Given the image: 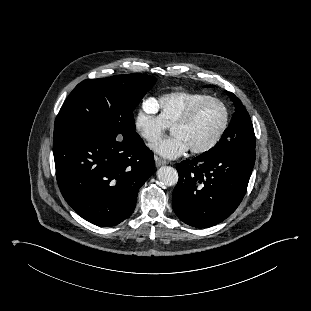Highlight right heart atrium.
Listing matches in <instances>:
<instances>
[{
  "label": "right heart atrium",
  "instance_id": "1",
  "mask_svg": "<svg viewBox=\"0 0 311 311\" xmlns=\"http://www.w3.org/2000/svg\"><path fill=\"white\" fill-rule=\"evenodd\" d=\"M138 136L147 144L156 142L168 128L157 113L155 100H146L133 118Z\"/></svg>",
  "mask_w": 311,
  "mask_h": 311
}]
</instances>
